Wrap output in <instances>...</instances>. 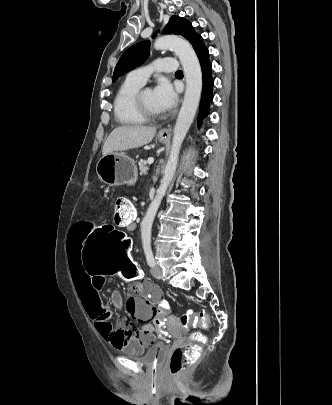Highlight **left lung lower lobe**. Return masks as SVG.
<instances>
[{
	"label": "left lung lower lobe",
	"mask_w": 332,
	"mask_h": 405,
	"mask_svg": "<svg viewBox=\"0 0 332 405\" xmlns=\"http://www.w3.org/2000/svg\"><path fill=\"white\" fill-rule=\"evenodd\" d=\"M203 73V90L200 102V111L198 115V127L202 120L208 115L210 104L213 100V85L214 80L211 74V62L209 61V51L206 46H203L197 53Z\"/></svg>",
	"instance_id": "obj_1"
}]
</instances>
